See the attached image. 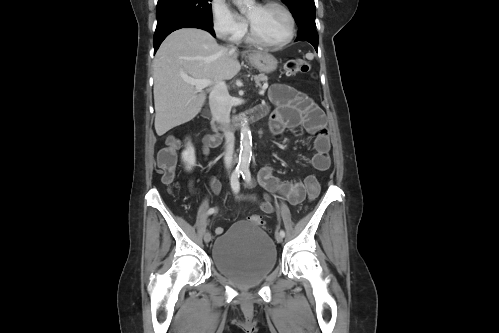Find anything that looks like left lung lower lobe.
I'll use <instances>...</instances> for the list:
<instances>
[{"label":"left lung lower lobe","mask_w":499,"mask_h":333,"mask_svg":"<svg viewBox=\"0 0 499 333\" xmlns=\"http://www.w3.org/2000/svg\"><path fill=\"white\" fill-rule=\"evenodd\" d=\"M307 41L311 43L315 50H318V33L316 27L310 25H304L299 27L298 36L295 41Z\"/></svg>","instance_id":"left-lung-lower-lobe-1"}]
</instances>
